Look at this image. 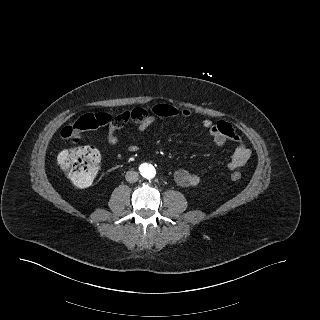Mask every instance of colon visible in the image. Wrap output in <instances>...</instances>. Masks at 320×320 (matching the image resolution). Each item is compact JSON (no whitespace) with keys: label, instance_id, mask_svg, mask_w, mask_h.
<instances>
[{"label":"colon","instance_id":"colon-1","mask_svg":"<svg viewBox=\"0 0 320 320\" xmlns=\"http://www.w3.org/2000/svg\"><path fill=\"white\" fill-rule=\"evenodd\" d=\"M120 116L112 117L107 113L87 114L80 117L77 122L61 130V137L77 141L82 131L94 130L99 127L118 122ZM100 163L97 149L91 146H81L62 151L58 156V165L70 180L78 187H87L93 182ZM237 181L241 178L239 172L231 174Z\"/></svg>","mask_w":320,"mask_h":320}]
</instances>
